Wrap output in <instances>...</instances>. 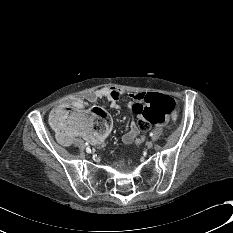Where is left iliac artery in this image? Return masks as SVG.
Listing matches in <instances>:
<instances>
[{"label": "left iliac artery", "instance_id": "left-iliac-artery-1", "mask_svg": "<svg viewBox=\"0 0 233 233\" xmlns=\"http://www.w3.org/2000/svg\"><path fill=\"white\" fill-rule=\"evenodd\" d=\"M150 136L153 137V133H150Z\"/></svg>", "mask_w": 233, "mask_h": 233}]
</instances>
